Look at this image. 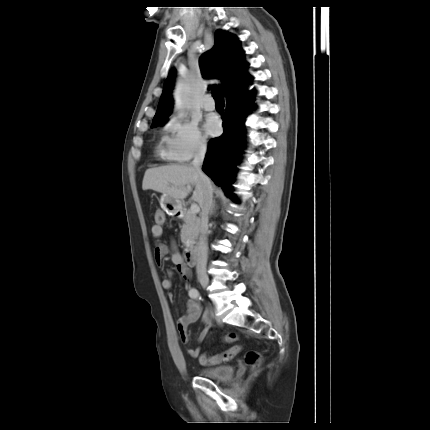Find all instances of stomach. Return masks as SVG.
Instances as JSON below:
<instances>
[{
    "label": "stomach",
    "instance_id": "0dacf381",
    "mask_svg": "<svg viewBox=\"0 0 430 430\" xmlns=\"http://www.w3.org/2000/svg\"><path fill=\"white\" fill-rule=\"evenodd\" d=\"M162 208L165 211L168 212H174L176 210V205H175V201L173 198H170L169 196H162V204H161Z\"/></svg>",
    "mask_w": 430,
    "mask_h": 430
}]
</instances>
